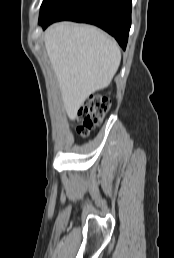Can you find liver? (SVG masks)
<instances>
[{"label":"liver","instance_id":"obj_1","mask_svg":"<svg viewBox=\"0 0 174 258\" xmlns=\"http://www.w3.org/2000/svg\"><path fill=\"white\" fill-rule=\"evenodd\" d=\"M44 43L69 118L85 99L106 88L121 61L116 41L90 25L56 23L44 34Z\"/></svg>","mask_w":174,"mask_h":258}]
</instances>
